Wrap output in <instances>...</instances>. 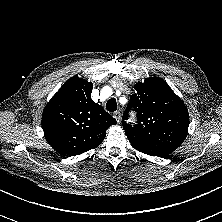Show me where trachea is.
Listing matches in <instances>:
<instances>
[{"mask_svg":"<svg viewBox=\"0 0 222 222\" xmlns=\"http://www.w3.org/2000/svg\"><path fill=\"white\" fill-rule=\"evenodd\" d=\"M106 109L110 112L117 110V101L115 98H110L106 103Z\"/></svg>","mask_w":222,"mask_h":222,"instance_id":"1","label":"trachea"}]
</instances>
